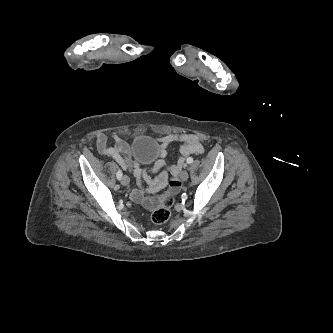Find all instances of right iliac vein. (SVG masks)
I'll return each instance as SVG.
<instances>
[{
  "mask_svg": "<svg viewBox=\"0 0 333 333\" xmlns=\"http://www.w3.org/2000/svg\"><path fill=\"white\" fill-rule=\"evenodd\" d=\"M130 182V179L128 176H123L122 179H121V184L124 185V186H127Z\"/></svg>",
  "mask_w": 333,
  "mask_h": 333,
  "instance_id": "obj_1",
  "label": "right iliac vein"
}]
</instances>
